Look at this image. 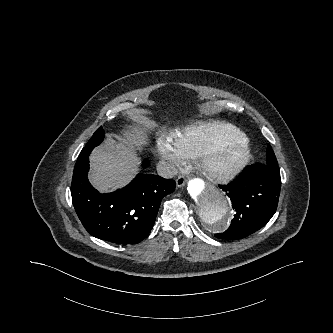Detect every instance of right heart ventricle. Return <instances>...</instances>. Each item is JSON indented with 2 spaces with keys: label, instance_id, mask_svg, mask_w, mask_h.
Instances as JSON below:
<instances>
[{
  "label": "right heart ventricle",
  "instance_id": "1",
  "mask_svg": "<svg viewBox=\"0 0 333 333\" xmlns=\"http://www.w3.org/2000/svg\"><path fill=\"white\" fill-rule=\"evenodd\" d=\"M223 138H245L237 127L222 122L188 126L173 135V141L186 159H196L212 143Z\"/></svg>",
  "mask_w": 333,
  "mask_h": 333
}]
</instances>
